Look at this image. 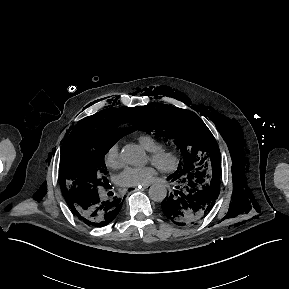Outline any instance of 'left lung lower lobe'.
Returning a JSON list of instances; mask_svg holds the SVG:
<instances>
[{
    "mask_svg": "<svg viewBox=\"0 0 289 289\" xmlns=\"http://www.w3.org/2000/svg\"><path fill=\"white\" fill-rule=\"evenodd\" d=\"M178 186L162 201L163 214L173 223L184 226L203 219L212 209L218 196L220 175L204 177L201 173L172 179Z\"/></svg>",
    "mask_w": 289,
    "mask_h": 289,
    "instance_id": "obj_1",
    "label": "left lung lower lobe"
}]
</instances>
